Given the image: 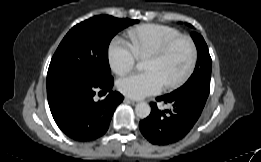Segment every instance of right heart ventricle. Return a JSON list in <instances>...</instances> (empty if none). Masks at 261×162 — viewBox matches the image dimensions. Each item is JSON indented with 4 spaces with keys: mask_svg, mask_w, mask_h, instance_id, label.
Listing matches in <instances>:
<instances>
[{
    "mask_svg": "<svg viewBox=\"0 0 261 162\" xmlns=\"http://www.w3.org/2000/svg\"><path fill=\"white\" fill-rule=\"evenodd\" d=\"M178 36H181V33L177 29L161 24H144L127 32L129 45L137 58L147 56L154 49Z\"/></svg>",
    "mask_w": 261,
    "mask_h": 162,
    "instance_id": "1",
    "label": "right heart ventricle"
}]
</instances>
